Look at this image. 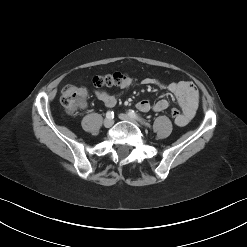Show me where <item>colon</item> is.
I'll use <instances>...</instances> for the list:
<instances>
[{"label":"colon","mask_w":247,"mask_h":247,"mask_svg":"<svg viewBox=\"0 0 247 247\" xmlns=\"http://www.w3.org/2000/svg\"><path fill=\"white\" fill-rule=\"evenodd\" d=\"M127 77L119 72L109 73L105 75H99L93 78L92 83L95 87H114L122 85ZM87 101V90L84 87L67 86L62 91L61 102L68 114H75L82 109ZM170 115L174 121H176L181 112L173 108L170 111Z\"/></svg>","instance_id":"obj_1"}]
</instances>
